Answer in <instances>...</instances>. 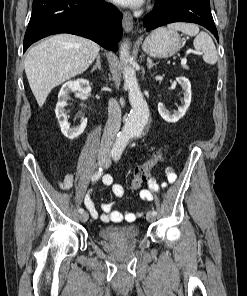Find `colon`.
Wrapping results in <instances>:
<instances>
[{"label":"colon","mask_w":247,"mask_h":296,"mask_svg":"<svg viewBox=\"0 0 247 296\" xmlns=\"http://www.w3.org/2000/svg\"><path fill=\"white\" fill-rule=\"evenodd\" d=\"M162 160L163 154L159 150L156 151L148 161L137 167L131 182V189L133 191L139 189L140 186L147 181L151 169L159 164Z\"/></svg>","instance_id":"1"}]
</instances>
